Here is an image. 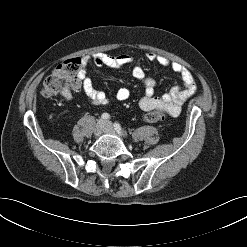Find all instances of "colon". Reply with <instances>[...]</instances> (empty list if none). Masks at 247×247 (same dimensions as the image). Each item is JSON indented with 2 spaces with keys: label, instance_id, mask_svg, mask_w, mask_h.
I'll return each mask as SVG.
<instances>
[{
  "label": "colon",
  "instance_id": "obj_1",
  "mask_svg": "<svg viewBox=\"0 0 247 247\" xmlns=\"http://www.w3.org/2000/svg\"><path fill=\"white\" fill-rule=\"evenodd\" d=\"M80 60L69 59L60 64L44 81L42 94L51 98L57 95H65L79 86ZM166 113L162 108H156L146 112L143 120L147 123L163 121Z\"/></svg>",
  "mask_w": 247,
  "mask_h": 247
}]
</instances>
